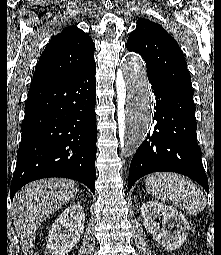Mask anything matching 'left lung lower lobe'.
I'll return each mask as SVG.
<instances>
[{"instance_id":"obj_1","label":"left lung lower lobe","mask_w":221,"mask_h":255,"mask_svg":"<svg viewBox=\"0 0 221 255\" xmlns=\"http://www.w3.org/2000/svg\"><path fill=\"white\" fill-rule=\"evenodd\" d=\"M148 79L156 98V124L132 158L128 189L146 174L168 171L190 177L208 193V179L196 140L193 95L154 77Z\"/></svg>"}]
</instances>
